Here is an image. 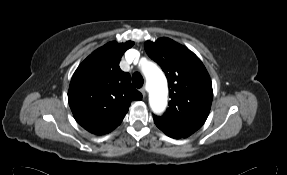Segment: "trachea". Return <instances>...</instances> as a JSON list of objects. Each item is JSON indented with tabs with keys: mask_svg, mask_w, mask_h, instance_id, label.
Returning a JSON list of instances; mask_svg holds the SVG:
<instances>
[{
	"mask_svg": "<svg viewBox=\"0 0 287 175\" xmlns=\"http://www.w3.org/2000/svg\"><path fill=\"white\" fill-rule=\"evenodd\" d=\"M144 80L140 73H134L132 76V84L136 88H141L143 86Z\"/></svg>",
	"mask_w": 287,
	"mask_h": 175,
	"instance_id": "1",
	"label": "trachea"
}]
</instances>
